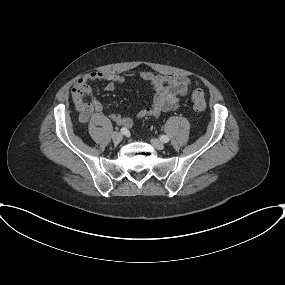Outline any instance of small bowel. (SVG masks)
<instances>
[{"label":"small bowel","mask_w":285,"mask_h":285,"mask_svg":"<svg viewBox=\"0 0 285 285\" xmlns=\"http://www.w3.org/2000/svg\"><path fill=\"white\" fill-rule=\"evenodd\" d=\"M128 77H138L146 82L153 92L151 104L138 110L136 120L158 117L163 112L176 110L179 107L180 100L187 95L192 84L186 76L158 75L148 71L130 74L92 72L78 79L71 91L80 121L87 122L94 113H100L103 110V105L96 98L90 82L104 81L106 82L105 89L113 91L117 85L123 84ZM109 117L124 128L132 127L135 121L121 113H112Z\"/></svg>","instance_id":"c3829d8e"}]
</instances>
